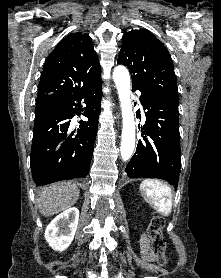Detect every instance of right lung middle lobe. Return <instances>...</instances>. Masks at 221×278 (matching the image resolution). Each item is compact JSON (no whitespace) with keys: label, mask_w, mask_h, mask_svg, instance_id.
Returning <instances> with one entry per match:
<instances>
[{"label":"right lung middle lobe","mask_w":221,"mask_h":278,"mask_svg":"<svg viewBox=\"0 0 221 278\" xmlns=\"http://www.w3.org/2000/svg\"><path fill=\"white\" fill-rule=\"evenodd\" d=\"M50 109L46 108V107H39V106H36V112H35V118L36 117H39L47 112H49Z\"/></svg>","instance_id":"dd1d6c3e"}]
</instances>
